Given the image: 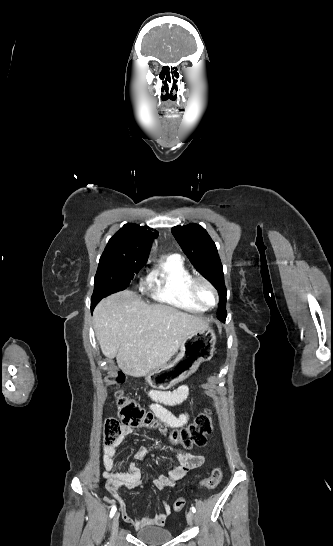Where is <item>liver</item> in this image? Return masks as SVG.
<instances>
[{
	"instance_id": "liver-1",
	"label": "liver",
	"mask_w": 333,
	"mask_h": 546,
	"mask_svg": "<svg viewBox=\"0 0 333 546\" xmlns=\"http://www.w3.org/2000/svg\"><path fill=\"white\" fill-rule=\"evenodd\" d=\"M93 325L103 354L116 357L119 368L132 377L166 365L188 337L207 328L200 316L167 305H147L129 290L101 300Z\"/></svg>"
}]
</instances>
